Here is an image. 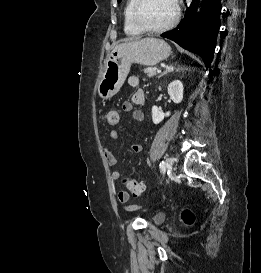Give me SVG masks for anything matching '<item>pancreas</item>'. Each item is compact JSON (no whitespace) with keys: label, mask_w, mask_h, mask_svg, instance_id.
<instances>
[{"label":"pancreas","mask_w":261,"mask_h":273,"mask_svg":"<svg viewBox=\"0 0 261 273\" xmlns=\"http://www.w3.org/2000/svg\"><path fill=\"white\" fill-rule=\"evenodd\" d=\"M157 68L156 67H147L144 69V73L147 74L148 77H153L156 75Z\"/></svg>","instance_id":"1"}]
</instances>
